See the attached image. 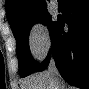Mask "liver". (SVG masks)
<instances>
[{
	"mask_svg": "<svg viewBox=\"0 0 89 89\" xmlns=\"http://www.w3.org/2000/svg\"><path fill=\"white\" fill-rule=\"evenodd\" d=\"M58 80L57 75L44 71L28 77L22 84L21 89H54L53 82Z\"/></svg>",
	"mask_w": 89,
	"mask_h": 89,
	"instance_id": "obj_1",
	"label": "liver"
}]
</instances>
